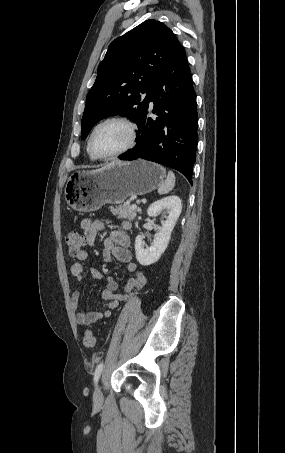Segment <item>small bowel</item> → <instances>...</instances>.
<instances>
[{
  "label": "small bowel",
  "instance_id": "c3829d8e",
  "mask_svg": "<svg viewBox=\"0 0 285 453\" xmlns=\"http://www.w3.org/2000/svg\"><path fill=\"white\" fill-rule=\"evenodd\" d=\"M79 226L83 231L86 245L94 246L98 232L105 228V223L101 220L85 218L80 222ZM130 227V222L123 220L120 222L118 228L112 230L110 235L105 238L103 259L108 263L112 262L114 259L124 263L125 270L131 273L132 277L128 280L122 293L117 292L118 284L116 280L111 276L107 277L106 288L102 292V298L105 301L104 310L102 312H81L79 310L80 291L76 290L72 295L71 303L75 312V320L78 325L89 326L103 318L109 317L111 312L116 309L120 303L125 302L136 295L145 286V276L138 269L137 264L132 261V254L129 249L130 238L127 234ZM87 257V251L83 250L77 256V259L79 261H85ZM71 273L78 282H81L87 274H89L92 279L97 280L102 278V274L99 270L90 268L86 271L80 262L74 263L71 266Z\"/></svg>",
  "mask_w": 285,
  "mask_h": 453
}]
</instances>
